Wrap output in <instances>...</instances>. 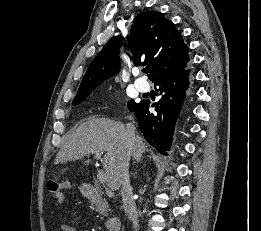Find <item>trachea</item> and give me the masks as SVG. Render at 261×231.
<instances>
[{
    "label": "trachea",
    "mask_w": 261,
    "mask_h": 231,
    "mask_svg": "<svg viewBox=\"0 0 261 231\" xmlns=\"http://www.w3.org/2000/svg\"><path fill=\"white\" fill-rule=\"evenodd\" d=\"M150 70H151L150 68H145V69H143V72H144V73H149Z\"/></svg>",
    "instance_id": "obj_1"
}]
</instances>
